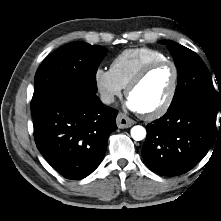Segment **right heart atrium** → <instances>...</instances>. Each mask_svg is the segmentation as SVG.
I'll use <instances>...</instances> for the list:
<instances>
[{"instance_id": "obj_1", "label": "right heart atrium", "mask_w": 221, "mask_h": 221, "mask_svg": "<svg viewBox=\"0 0 221 221\" xmlns=\"http://www.w3.org/2000/svg\"><path fill=\"white\" fill-rule=\"evenodd\" d=\"M94 83L101 100L106 104L113 103L122 94L123 87L110 70L98 67L94 72Z\"/></svg>"}]
</instances>
